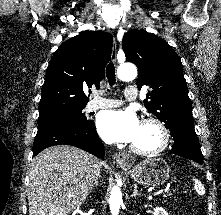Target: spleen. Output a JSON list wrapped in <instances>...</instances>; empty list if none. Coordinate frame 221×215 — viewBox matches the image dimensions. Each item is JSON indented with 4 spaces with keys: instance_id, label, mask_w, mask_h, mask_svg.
<instances>
[{
    "instance_id": "1",
    "label": "spleen",
    "mask_w": 221,
    "mask_h": 215,
    "mask_svg": "<svg viewBox=\"0 0 221 215\" xmlns=\"http://www.w3.org/2000/svg\"><path fill=\"white\" fill-rule=\"evenodd\" d=\"M194 182H195L194 188L198 192V194L204 195L205 189H204V186L202 185V183L200 181H198L197 179H194Z\"/></svg>"
}]
</instances>
